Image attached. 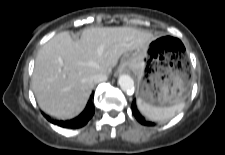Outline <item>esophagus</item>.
<instances>
[{
    "mask_svg": "<svg viewBox=\"0 0 225 155\" xmlns=\"http://www.w3.org/2000/svg\"><path fill=\"white\" fill-rule=\"evenodd\" d=\"M125 71H127V66L126 65H122L118 69V73H122V72H125Z\"/></svg>",
    "mask_w": 225,
    "mask_h": 155,
    "instance_id": "obj_1",
    "label": "esophagus"
}]
</instances>
